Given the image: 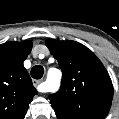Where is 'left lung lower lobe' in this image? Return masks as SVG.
<instances>
[{
  "instance_id": "left-lung-lower-lobe-1",
  "label": "left lung lower lobe",
  "mask_w": 119,
  "mask_h": 119,
  "mask_svg": "<svg viewBox=\"0 0 119 119\" xmlns=\"http://www.w3.org/2000/svg\"><path fill=\"white\" fill-rule=\"evenodd\" d=\"M58 119H78V118H75V117H58Z\"/></svg>"
}]
</instances>
